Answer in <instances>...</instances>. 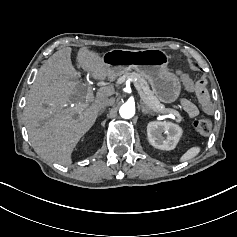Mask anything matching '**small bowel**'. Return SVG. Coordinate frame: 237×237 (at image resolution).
I'll list each match as a JSON object with an SVG mask.
<instances>
[{
	"instance_id": "obj_1",
	"label": "small bowel",
	"mask_w": 237,
	"mask_h": 237,
	"mask_svg": "<svg viewBox=\"0 0 237 237\" xmlns=\"http://www.w3.org/2000/svg\"><path fill=\"white\" fill-rule=\"evenodd\" d=\"M203 91L204 94L208 97L207 89H206V81L205 80H199L196 83V92L199 96L200 92ZM209 98V97H208ZM198 101L200 103V100L198 98ZM180 105L183 108V110L190 116V117H196L199 114V110L197 106L188 99H181ZM201 105V103H200Z\"/></svg>"
}]
</instances>
